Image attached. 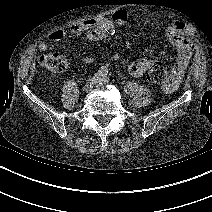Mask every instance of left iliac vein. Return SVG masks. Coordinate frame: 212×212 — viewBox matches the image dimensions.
<instances>
[{
	"instance_id": "4c4485c4",
	"label": "left iliac vein",
	"mask_w": 212,
	"mask_h": 212,
	"mask_svg": "<svg viewBox=\"0 0 212 212\" xmlns=\"http://www.w3.org/2000/svg\"><path fill=\"white\" fill-rule=\"evenodd\" d=\"M102 81H103V80H99L98 83L96 84V86H97L98 88L103 87V82H102Z\"/></svg>"
}]
</instances>
